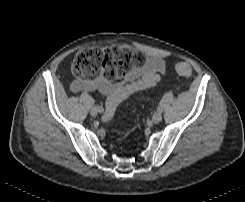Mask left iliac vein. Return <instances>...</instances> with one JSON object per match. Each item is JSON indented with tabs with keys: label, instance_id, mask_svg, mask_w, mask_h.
<instances>
[{
	"label": "left iliac vein",
	"instance_id": "1",
	"mask_svg": "<svg viewBox=\"0 0 245 202\" xmlns=\"http://www.w3.org/2000/svg\"><path fill=\"white\" fill-rule=\"evenodd\" d=\"M162 120V115L160 112H156L153 116H152V122L157 124Z\"/></svg>",
	"mask_w": 245,
	"mask_h": 202
}]
</instances>
